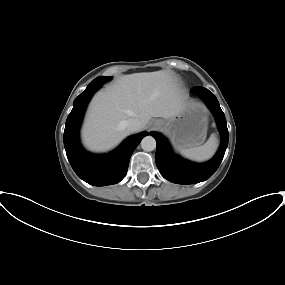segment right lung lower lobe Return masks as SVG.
<instances>
[{
    "instance_id": "1",
    "label": "right lung lower lobe",
    "mask_w": 285,
    "mask_h": 285,
    "mask_svg": "<svg viewBox=\"0 0 285 285\" xmlns=\"http://www.w3.org/2000/svg\"><path fill=\"white\" fill-rule=\"evenodd\" d=\"M100 86L86 89L75 99L64 130V146L73 170L82 180L94 186L120 182L127 173L133 151L149 135L148 132H142L130 136L109 154L94 155L86 152L79 142V128L86 106Z\"/></svg>"
}]
</instances>
